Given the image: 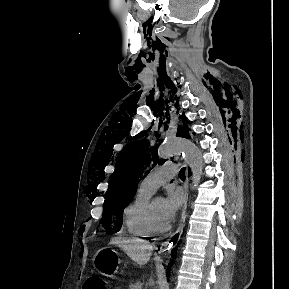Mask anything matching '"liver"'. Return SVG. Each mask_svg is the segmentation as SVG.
I'll return each instance as SVG.
<instances>
[{"label": "liver", "mask_w": 289, "mask_h": 289, "mask_svg": "<svg viewBox=\"0 0 289 289\" xmlns=\"http://www.w3.org/2000/svg\"><path fill=\"white\" fill-rule=\"evenodd\" d=\"M110 244L119 246L133 261L145 265L152 254L153 246L139 239L113 238Z\"/></svg>", "instance_id": "1"}]
</instances>
